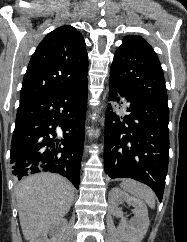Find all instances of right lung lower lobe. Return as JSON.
<instances>
[{
    "instance_id": "right-lung-lower-lobe-1",
    "label": "right lung lower lobe",
    "mask_w": 187,
    "mask_h": 242,
    "mask_svg": "<svg viewBox=\"0 0 187 242\" xmlns=\"http://www.w3.org/2000/svg\"><path fill=\"white\" fill-rule=\"evenodd\" d=\"M87 85L86 79L20 103L10 152L12 173L19 180L48 171L65 176L79 188Z\"/></svg>"
}]
</instances>
